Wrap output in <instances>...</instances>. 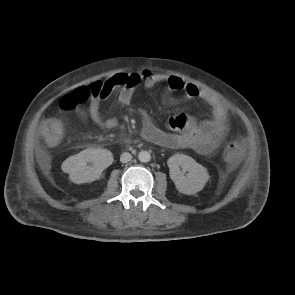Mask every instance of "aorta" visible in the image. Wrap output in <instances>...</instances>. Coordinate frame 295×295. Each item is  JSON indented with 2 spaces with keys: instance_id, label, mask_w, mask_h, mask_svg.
<instances>
[{
  "instance_id": "1",
  "label": "aorta",
  "mask_w": 295,
  "mask_h": 295,
  "mask_svg": "<svg viewBox=\"0 0 295 295\" xmlns=\"http://www.w3.org/2000/svg\"><path fill=\"white\" fill-rule=\"evenodd\" d=\"M138 159L140 162L146 163L150 161L151 155L148 151H141L138 154Z\"/></svg>"
}]
</instances>
